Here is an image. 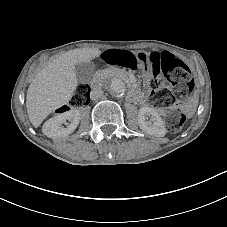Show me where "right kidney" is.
Returning a JSON list of instances; mask_svg holds the SVG:
<instances>
[{
	"instance_id": "1",
	"label": "right kidney",
	"mask_w": 227,
	"mask_h": 227,
	"mask_svg": "<svg viewBox=\"0 0 227 227\" xmlns=\"http://www.w3.org/2000/svg\"><path fill=\"white\" fill-rule=\"evenodd\" d=\"M80 116V111L74 108L60 113L43 124L42 132L48 138L70 135L77 128L80 122ZM67 120L70 124L64 128L62 124L66 123Z\"/></svg>"
}]
</instances>
